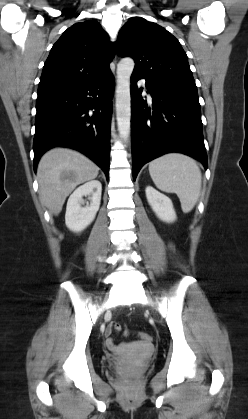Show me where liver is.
I'll return each mask as SVG.
<instances>
[{
  "label": "liver",
  "mask_w": 248,
  "mask_h": 419,
  "mask_svg": "<svg viewBox=\"0 0 248 419\" xmlns=\"http://www.w3.org/2000/svg\"><path fill=\"white\" fill-rule=\"evenodd\" d=\"M98 172L99 167L80 152L53 148L41 157L37 167L40 201L58 215L75 187L95 179Z\"/></svg>",
  "instance_id": "liver-1"
}]
</instances>
